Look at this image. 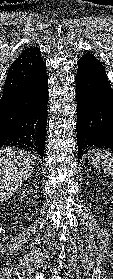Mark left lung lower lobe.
I'll return each mask as SVG.
<instances>
[{
    "instance_id": "obj_1",
    "label": "left lung lower lobe",
    "mask_w": 113,
    "mask_h": 279,
    "mask_svg": "<svg viewBox=\"0 0 113 279\" xmlns=\"http://www.w3.org/2000/svg\"><path fill=\"white\" fill-rule=\"evenodd\" d=\"M76 80L78 158L89 149L113 150V90L100 60L86 53Z\"/></svg>"
}]
</instances>
